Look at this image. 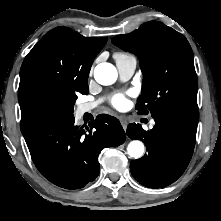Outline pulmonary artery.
I'll return each instance as SVG.
<instances>
[{"instance_id": "1", "label": "pulmonary artery", "mask_w": 221, "mask_h": 221, "mask_svg": "<svg viewBox=\"0 0 221 221\" xmlns=\"http://www.w3.org/2000/svg\"><path fill=\"white\" fill-rule=\"evenodd\" d=\"M116 67L122 81L129 80L135 72L137 61L133 56H126L121 58H115ZM102 99L96 100L94 102L84 103L80 105L77 109L79 115L86 112H90L95 107L101 103Z\"/></svg>"}]
</instances>
